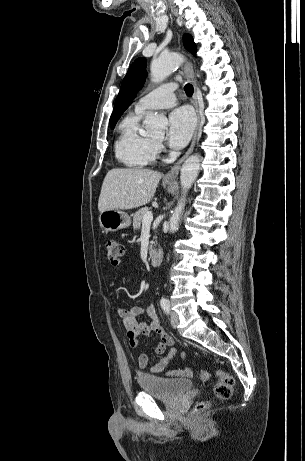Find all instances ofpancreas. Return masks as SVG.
I'll list each match as a JSON object with an SVG mask.
<instances>
[{"label": "pancreas", "instance_id": "pancreas-1", "mask_svg": "<svg viewBox=\"0 0 305 461\" xmlns=\"http://www.w3.org/2000/svg\"><path fill=\"white\" fill-rule=\"evenodd\" d=\"M149 210H150V208L144 207V208L139 209L134 214V216H133V228H134V230H139L140 229L141 223L143 222V217L147 212H149ZM152 244H153V242H151L150 249H152Z\"/></svg>", "mask_w": 305, "mask_h": 461}]
</instances>
